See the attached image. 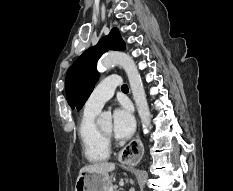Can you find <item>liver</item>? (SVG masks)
<instances>
[{"label":"liver","instance_id":"1","mask_svg":"<svg viewBox=\"0 0 233 191\" xmlns=\"http://www.w3.org/2000/svg\"><path fill=\"white\" fill-rule=\"evenodd\" d=\"M115 169L114 163L102 162V163H95L88 166H84L81 168V172H96L100 174H105L112 172Z\"/></svg>","mask_w":233,"mask_h":191}]
</instances>
